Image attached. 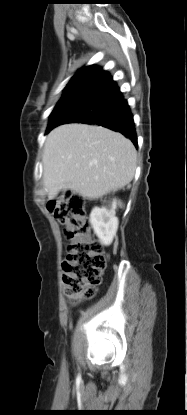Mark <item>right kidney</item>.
Instances as JSON below:
<instances>
[{"label": "right kidney", "instance_id": "ca27d5eb", "mask_svg": "<svg viewBox=\"0 0 187 415\" xmlns=\"http://www.w3.org/2000/svg\"><path fill=\"white\" fill-rule=\"evenodd\" d=\"M117 202H112L111 208L95 207L90 214V223L95 234L103 245H110L118 229V218L115 216Z\"/></svg>", "mask_w": 187, "mask_h": 415}]
</instances>
